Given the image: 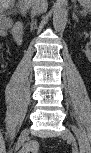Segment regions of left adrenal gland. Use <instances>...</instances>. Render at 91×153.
Here are the masks:
<instances>
[{
  "label": "left adrenal gland",
  "instance_id": "1",
  "mask_svg": "<svg viewBox=\"0 0 91 153\" xmlns=\"http://www.w3.org/2000/svg\"><path fill=\"white\" fill-rule=\"evenodd\" d=\"M72 17H73L74 20H76V22L79 21V20H78V17H77L76 14H75V12H73V16H72Z\"/></svg>",
  "mask_w": 91,
  "mask_h": 153
}]
</instances>
